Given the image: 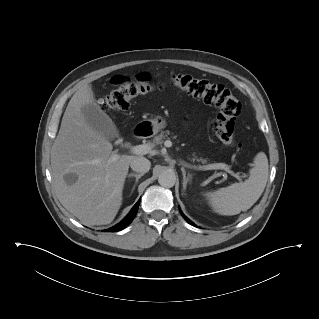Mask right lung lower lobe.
I'll use <instances>...</instances> for the list:
<instances>
[{
  "label": "right lung lower lobe",
  "instance_id": "obj_1",
  "mask_svg": "<svg viewBox=\"0 0 319 319\" xmlns=\"http://www.w3.org/2000/svg\"><path fill=\"white\" fill-rule=\"evenodd\" d=\"M140 200L134 205L129 214L116 226L105 230L106 232H117L128 226L137 214Z\"/></svg>",
  "mask_w": 319,
  "mask_h": 319
}]
</instances>
